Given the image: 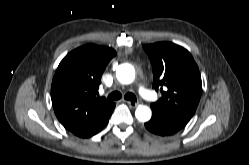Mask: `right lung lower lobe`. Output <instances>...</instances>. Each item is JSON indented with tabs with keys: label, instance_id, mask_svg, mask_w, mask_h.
<instances>
[{
	"label": "right lung lower lobe",
	"instance_id": "right-lung-lower-lobe-1",
	"mask_svg": "<svg viewBox=\"0 0 249 165\" xmlns=\"http://www.w3.org/2000/svg\"><path fill=\"white\" fill-rule=\"evenodd\" d=\"M114 107H115V104L106 114H104L96 122H94V123H92V124H90V125H88V126H86L84 128L73 131V133L76 136L81 137V138H88V137H91V136L97 134L108 123L109 118H110V116L112 114V111H113Z\"/></svg>",
	"mask_w": 249,
	"mask_h": 165
}]
</instances>
